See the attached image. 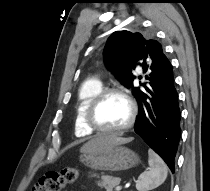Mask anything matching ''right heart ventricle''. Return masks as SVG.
I'll use <instances>...</instances> for the list:
<instances>
[{"mask_svg": "<svg viewBox=\"0 0 210 191\" xmlns=\"http://www.w3.org/2000/svg\"><path fill=\"white\" fill-rule=\"evenodd\" d=\"M102 90L100 81L90 79L85 81L78 91V101L75 113V134L78 136H90L94 133L85 122L86 109L93 97Z\"/></svg>", "mask_w": 210, "mask_h": 191, "instance_id": "e07e8e85", "label": "right heart ventricle"}]
</instances>
